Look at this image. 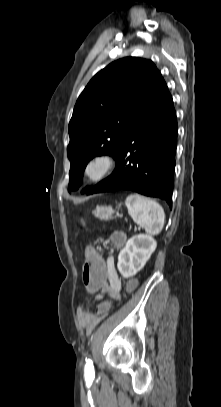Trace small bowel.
Masks as SVG:
<instances>
[{"instance_id": "c3829d8e", "label": "small bowel", "mask_w": 221, "mask_h": 407, "mask_svg": "<svg viewBox=\"0 0 221 407\" xmlns=\"http://www.w3.org/2000/svg\"><path fill=\"white\" fill-rule=\"evenodd\" d=\"M106 265L108 266V270H109L108 285L104 286L103 292H85V295L93 296L96 301H100V303L98 305L101 304L102 294H108L109 298H111V295H115V298H116V295H119V298H116V300L121 299L122 281L116 271L114 258L112 256H108L106 258ZM83 271H84V268H83ZM106 300H108V299H106ZM112 300H113V298H112ZM111 305H112V301H110V308H111ZM106 315L107 314H105V316ZM77 317H78V322H79L81 329L87 334L91 333L92 330L96 327V325L100 322V320L102 318H104V317L98 316L97 309L95 312H91L83 305L78 307Z\"/></svg>"}]
</instances>
